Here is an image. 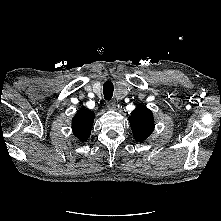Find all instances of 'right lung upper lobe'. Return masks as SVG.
<instances>
[{
	"label": "right lung upper lobe",
	"instance_id": "cb5924a9",
	"mask_svg": "<svg viewBox=\"0 0 221 221\" xmlns=\"http://www.w3.org/2000/svg\"><path fill=\"white\" fill-rule=\"evenodd\" d=\"M95 114L89 110H80L72 120V130L75 136L81 140L86 141L91 133Z\"/></svg>",
	"mask_w": 221,
	"mask_h": 221
}]
</instances>
